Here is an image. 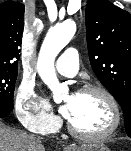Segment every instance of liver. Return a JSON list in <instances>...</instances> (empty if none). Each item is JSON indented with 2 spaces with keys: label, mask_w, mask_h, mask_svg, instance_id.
Here are the masks:
<instances>
[{
  "label": "liver",
  "mask_w": 131,
  "mask_h": 151,
  "mask_svg": "<svg viewBox=\"0 0 131 151\" xmlns=\"http://www.w3.org/2000/svg\"><path fill=\"white\" fill-rule=\"evenodd\" d=\"M0 151H45L40 140L0 122Z\"/></svg>",
  "instance_id": "obj_1"
}]
</instances>
